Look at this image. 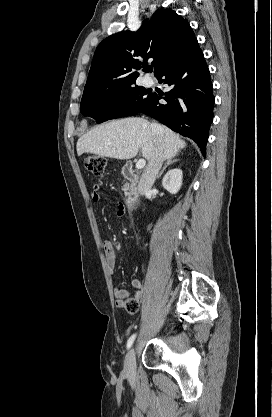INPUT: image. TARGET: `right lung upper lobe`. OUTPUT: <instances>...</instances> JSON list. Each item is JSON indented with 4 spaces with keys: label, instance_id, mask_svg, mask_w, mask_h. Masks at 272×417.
Instances as JSON below:
<instances>
[{
    "label": "right lung upper lobe",
    "instance_id": "cb5924a9",
    "mask_svg": "<svg viewBox=\"0 0 272 417\" xmlns=\"http://www.w3.org/2000/svg\"><path fill=\"white\" fill-rule=\"evenodd\" d=\"M197 42L189 23L171 9L156 11L137 32L124 31L97 47L83 94L118 91L135 85L150 60L155 76L184 56Z\"/></svg>",
    "mask_w": 272,
    "mask_h": 417
}]
</instances>
